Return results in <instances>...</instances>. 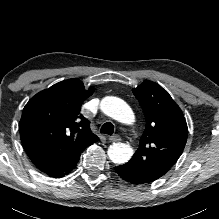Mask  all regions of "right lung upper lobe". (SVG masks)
Here are the masks:
<instances>
[{
	"instance_id": "right-lung-upper-lobe-1",
	"label": "right lung upper lobe",
	"mask_w": 219,
	"mask_h": 219,
	"mask_svg": "<svg viewBox=\"0 0 219 219\" xmlns=\"http://www.w3.org/2000/svg\"><path fill=\"white\" fill-rule=\"evenodd\" d=\"M78 79L54 84L25 105L19 124L21 142L32 163L41 171L64 166L98 141L90 121L80 114L82 103L93 94Z\"/></svg>"
}]
</instances>
